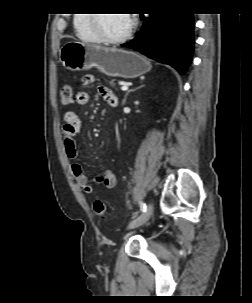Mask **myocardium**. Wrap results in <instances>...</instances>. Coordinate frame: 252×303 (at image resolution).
Segmentation results:
<instances>
[{
  "label": "myocardium",
  "mask_w": 252,
  "mask_h": 303,
  "mask_svg": "<svg viewBox=\"0 0 252 303\" xmlns=\"http://www.w3.org/2000/svg\"><path fill=\"white\" fill-rule=\"evenodd\" d=\"M91 15H92V24L99 40L109 44H118L126 41L131 36L137 25L136 16L133 13H128V16L130 17V23L126 31L120 36L109 37L105 35L100 28V14H91Z\"/></svg>",
  "instance_id": "myocardium-1"
}]
</instances>
